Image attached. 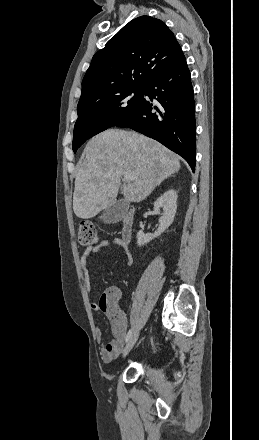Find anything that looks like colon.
Segmentation results:
<instances>
[{
  "instance_id": "obj_1",
  "label": "colon",
  "mask_w": 259,
  "mask_h": 440,
  "mask_svg": "<svg viewBox=\"0 0 259 440\" xmlns=\"http://www.w3.org/2000/svg\"><path fill=\"white\" fill-rule=\"evenodd\" d=\"M99 241V234L91 222H82L79 226V242L82 246L93 247Z\"/></svg>"
}]
</instances>
